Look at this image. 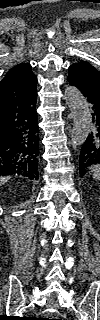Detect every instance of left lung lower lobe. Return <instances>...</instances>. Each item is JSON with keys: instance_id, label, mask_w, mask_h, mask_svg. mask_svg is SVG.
Segmentation results:
<instances>
[{"instance_id": "obj_1", "label": "left lung lower lobe", "mask_w": 100, "mask_h": 320, "mask_svg": "<svg viewBox=\"0 0 100 320\" xmlns=\"http://www.w3.org/2000/svg\"><path fill=\"white\" fill-rule=\"evenodd\" d=\"M67 80L84 95L92 109L93 126L80 152V176H84L86 168L93 164H100V91L89 82L75 74L69 73Z\"/></svg>"}]
</instances>
